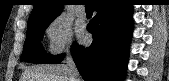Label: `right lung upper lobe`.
Masks as SVG:
<instances>
[{
  "mask_svg": "<svg viewBox=\"0 0 169 81\" xmlns=\"http://www.w3.org/2000/svg\"><path fill=\"white\" fill-rule=\"evenodd\" d=\"M34 8L29 17L28 25L49 19H55L62 11L67 0H34Z\"/></svg>",
  "mask_w": 169,
  "mask_h": 81,
  "instance_id": "cb5924a9",
  "label": "right lung upper lobe"
}]
</instances>
